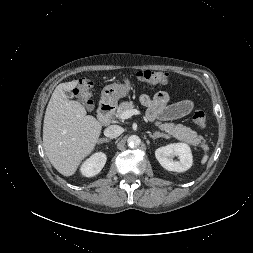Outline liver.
Returning <instances> with one entry per match:
<instances>
[{
	"label": "liver",
	"instance_id": "6515ba94",
	"mask_svg": "<svg viewBox=\"0 0 253 253\" xmlns=\"http://www.w3.org/2000/svg\"><path fill=\"white\" fill-rule=\"evenodd\" d=\"M78 80L60 83L52 93L43 124V147L53 167L64 176L73 175L95 148L102 124L65 94Z\"/></svg>",
	"mask_w": 253,
	"mask_h": 253
}]
</instances>
